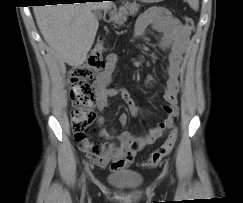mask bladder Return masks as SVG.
<instances>
[{"label": "bladder", "instance_id": "obj_1", "mask_svg": "<svg viewBox=\"0 0 243 203\" xmlns=\"http://www.w3.org/2000/svg\"><path fill=\"white\" fill-rule=\"evenodd\" d=\"M106 180L114 187L129 190L140 186L143 176L135 170L120 169L108 174Z\"/></svg>", "mask_w": 243, "mask_h": 203}]
</instances>
